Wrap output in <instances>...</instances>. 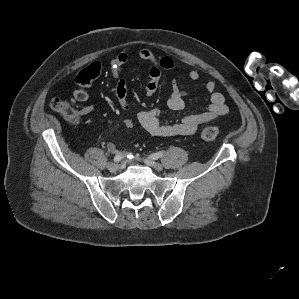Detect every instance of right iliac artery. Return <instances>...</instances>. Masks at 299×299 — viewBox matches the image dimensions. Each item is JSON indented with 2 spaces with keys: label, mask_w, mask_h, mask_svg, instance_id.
Instances as JSON below:
<instances>
[{
  "label": "right iliac artery",
  "mask_w": 299,
  "mask_h": 299,
  "mask_svg": "<svg viewBox=\"0 0 299 299\" xmlns=\"http://www.w3.org/2000/svg\"><path fill=\"white\" fill-rule=\"evenodd\" d=\"M122 158H123V156H122L121 154H117V155L114 157V161H115V162H119Z\"/></svg>",
  "instance_id": "obj_1"
}]
</instances>
